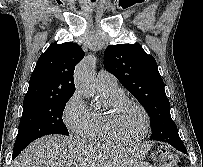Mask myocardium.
Returning a JSON list of instances; mask_svg holds the SVG:
<instances>
[{
  "label": "myocardium",
  "mask_w": 203,
  "mask_h": 167,
  "mask_svg": "<svg viewBox=\"0 0 203 167\" xmlns=\"http://www.w3.org/2000/svg\"><path fill=\"white\" fill-rule=\"evenodd\" d=\"M123 103H130L136 106L143 115V130L141 134L135 139H124L120 137L114 130V116L118 107ZM102 126L105 134L111 141L124 145H135L143 141L147 136L150 127V117L146 108L140 102L126 96L123 93H120L112 97V99L110 100L108 108L102 116Z\"/></svg>",
  "instance_id": "myocardium-1"
}]
</instances>
